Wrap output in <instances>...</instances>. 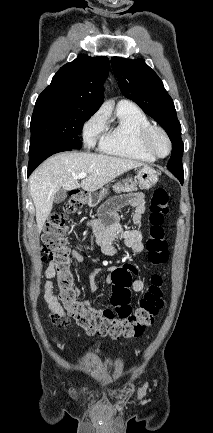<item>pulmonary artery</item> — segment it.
Masks as SVG:
<instances>
[{"label": "pulmonary artery", "instance_id": "pulmonary-artery-1", "mask_svg": "<svg viewBox=\"0 0 213 433\" xmlns=\"http://www.w3.org/2000/svg\"><path fill=\"white\" fill-rule=\"evenodd\" d=\"M120 102H128L127 100H121Z\"/></svg>", "mask_w": 213, "mask_h": 433}]
</instances>
